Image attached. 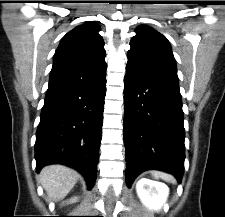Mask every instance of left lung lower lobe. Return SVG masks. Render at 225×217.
<instances>
[{
  "label": "left lung lower lobe",
  "mask_w": 225,
  "mask_h": 217,
  "mask_svg": "<svg viewBox=\"0 0 225 217\" xmlns=\"http://www.w3.org/2000/svg\"><path fill=\"white\" fill-rule=\"evenodd\" d=\"M124 143L128 187L141 172L184 171L185 146L181 94L173 81L127 70L124 79Z\"/></svg>",
  "instance_id": "left-lung-lower-lobe-1"
}]
</instances>
